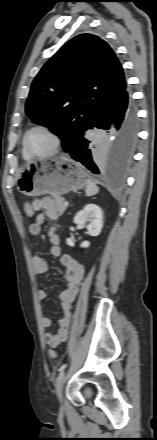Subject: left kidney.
I'll return each instance as SVG.
<instances>
[{"mask_svg": "<svg viewBox=\"0 0 157 440\" xmlns=\"http://www.w3.org/2000/svg\"><path fill=\"white\" fill-rule=\"evenodd\" d=\"M74 223L78 225H85L87 222L88 234L90 236H98L103 227V212L102 209L95 204H87L83 210L79 211L74 217ZM67 245L74 247V241L70 238L66 239ZM90 242L84 241L81 243L82 248L89 247Z\"/></svg>", "mask_w": 157, "mask_h": 440, "instance_id": "1", "label": "left kidney"}]
</instances>
